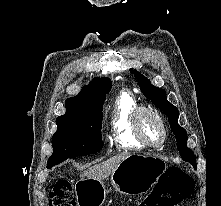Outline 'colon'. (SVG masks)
<instances>
[{
  "label": "colon",
  "mask_w": 221,
  "mask_h": 206,
  "mask_svg": "<svg viewBox=\"0 0 221 206\" xmlns=\"http://www.w3.org/2000/svg\"><path fill=\"white\" fill-rule=\"evenodd\" d=\"M163 178L165 181L139 206H177L194 189L193 179L180 168H169ZM49 203V206H76L75 194L68 180L61 179L54 183L49 192Z\"/></svg>",
  "instance_id": "obj_1"
}]
</instances>
